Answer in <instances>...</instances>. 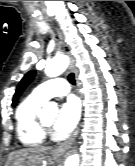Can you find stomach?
I'll list each match as a JSON object with an SVG mask.
<instances>
[{
  "label": "stomach",
  "mask_w": 135,
  "mask_h": 166,
  "mask_svg": "<svg viewBox=\"0 0 135 166\" xmlns=\"http://www.w3.org/2000/svg\"><path fill=\"white\" fill-rule=\"evenodd\" d=\"M23 159L22 156L20 155H15L12 157L11 160L7 161V165L6 166H42V165H34L33 161H29V163L27 165H23Z\"/></svg>",
  "instance_id": "stomach-1"
}]
</instances>
